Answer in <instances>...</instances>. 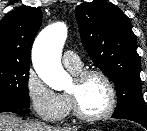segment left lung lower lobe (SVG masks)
<instances>
[{
    "label": "left lung lower lobe",
    "mask_w": 147,
    "mask_h": 131,
    "mask_svg": "<svg viewBox=\"0 0 147 131\" xmlns=\"http://www.w3.org/2000/svg\"><path fill=\"white\" fill-rule=\"evenodd\" d=\"M112 118L132 120L143 125L147 129V117H141L136 115H124V116H112Z\"/></svg>",
    "instance_id": "left-lung-lower-lobe-1"
}]
</instances>
